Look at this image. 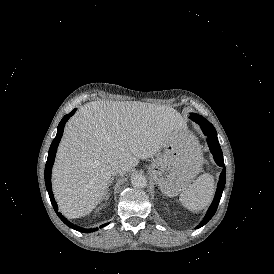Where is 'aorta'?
Instances as JSON below:
<instances>
[{
	"label": "aorta",
	"instance_id": "762f6f07",
	"mask_svg": "<svg viewBox=\"0 0 274 274\" xmlns=\"http://www.w3.org/2000/svg\"><path fill=\"white\" fill-rule=\"evenodd\" d=\"M131 183L134 188H145L147 186V179L144 175L136 174L131 177Z\"/></svg>",
	"mask_w": 274,
	"mask_h": 274
}]
</instances>
